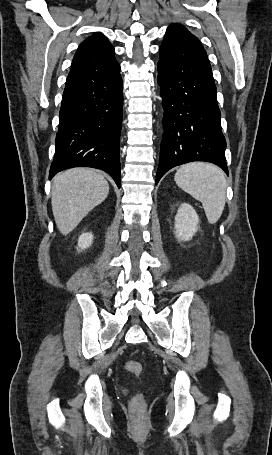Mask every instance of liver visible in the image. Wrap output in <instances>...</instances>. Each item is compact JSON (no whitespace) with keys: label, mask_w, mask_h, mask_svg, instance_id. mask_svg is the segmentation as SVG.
Listing matches in <instances>:
<instances>
[{"label":"liver","mask_w":272,"mask_h":455,"mask_svg":"<svg viewBox=\"0 0 272 455\" xmlns=\"http://www.w3.org/2000/svg\"><path fill=\"white\" fill-rule=\"evenodd\" d=\"M109 193L105 178L93 169L74 168L53 179L51 204L60 233L69 234Z\"/></svg>","instance_id":"obj_1"}]
</instances>
